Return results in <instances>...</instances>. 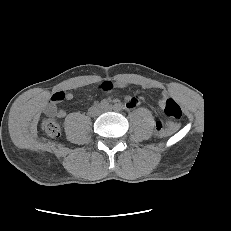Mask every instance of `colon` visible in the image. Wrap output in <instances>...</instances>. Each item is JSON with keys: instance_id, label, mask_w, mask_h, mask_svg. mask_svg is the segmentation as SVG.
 Returning <instances> with one entry per match:
<instances>
[{"instance_id": "1", "label": "colon", "mask_w": 231, "mask_h": 231, "mask_svg": "<svg viewBox=\"0 0 231 231\" xmlns=\"http://www.w3.org/2000/svg\"><path fill=\"white\" fill-rule=\"evenodd\" d=\"M99 88L103 91H108L113 89V84L110 81H104L99 85ZM60 99L59 95L52 96V102ZM164 113L167 117L177 120L182 116V110L178 103L172 99L168 98L164 101ZM42 129L53 138L59 137L61 133V127L59 121L54 116H48L42 120ZM157 133L160 136H165L169 129H165L163 125L159 122L156 124Z\"/></svg>"}]
</instances>
